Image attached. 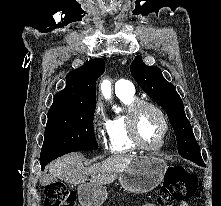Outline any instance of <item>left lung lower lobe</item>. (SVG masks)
<instances>
[{
    "label": "left lung lower lobe",
    "instance_id": "1",
    "mask_svg": "<svg viewBox=\"0 0 221 206\" xmlns=\"http://www.w3.org/2000/svg\"><path fill=\"white\" fill-rule=\"evenodd\" d=\"M195 163H197L198 165H204V163H203V160H201V161H197V162H195Z\"/></svg>",
    "mask_w": 221,
    "mask_h": 206
}]
</instances>
